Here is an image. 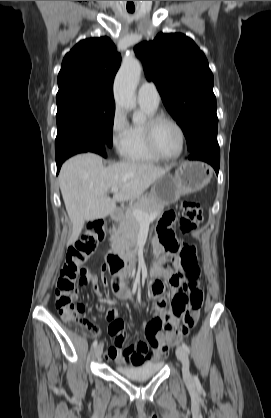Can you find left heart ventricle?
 Returning a JSON list of instances; mask_svg holds the SVG:
<instances>
[{
    "label": "left heart ventricle",
    "mask_w": 271,
    "mask_h": 418,
    "mask_svg": "<svg viewBox=\"0 0 271 418\" xmlns=\"http://www.w3.org/2000/svg\"><path fill=\"white\" fill-rule=\"evenodd\" d=\"M155 141L160 152L167 156L175 155L180 149V134L169 122H162L158 125Z\"/></svg>",
    "instance_id": "left-heart-ventricle-1"
}]
</instances>
